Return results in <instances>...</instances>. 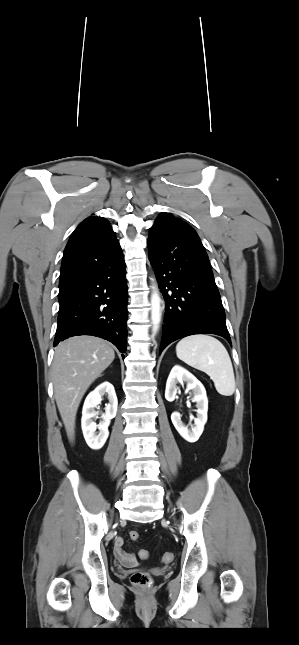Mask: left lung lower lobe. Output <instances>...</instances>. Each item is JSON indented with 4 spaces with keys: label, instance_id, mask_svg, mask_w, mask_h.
Returning a JSON list of instances; mask_svg holds the SVG:
<instances>
[{
    "label": "left lung lower lobe",
    "instance_id": "0a47b994",
    "mask_svg": "<svg viewBox=\"0 0 299 645\" xmlns=\"http://www.w3.org/2000/svg\"><path fill=\"white\" fill-rule=\"evenodd\" d=\"M148 247L166 302L160 353L194 334H216L231 344L210 262L195 230L180 219L153 226Z\"/></svg>",
    "mask_w": 299,
    "mask_h": 645
}]
</instances>
